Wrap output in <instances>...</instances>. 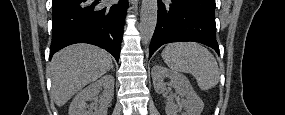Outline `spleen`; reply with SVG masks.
Listing matches in <instances>:
<instances>
[{"mask_svg":"<svg viewBox=\"0 0 285 115\" xmlns=\"http://www.w3.org/2000/svg\"><path fill=\"white\" fill-rule=\"evenodd\" d=\"M161 56L172 71L192 74L203 91L210 90L219 82L220 72L215 57L198 43H169Z\"/></svg>","mask_w":285,"mask_h":115,"instance_id":"3e777b00","label":"spleen"}]
</instances>
